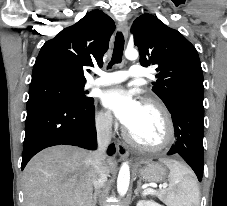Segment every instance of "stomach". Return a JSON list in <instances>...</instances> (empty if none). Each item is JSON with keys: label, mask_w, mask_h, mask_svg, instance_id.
Instances as JSON below:
<instances>
[{"label": "stomach", "mask_w": 227, "mask_h": 206, "mask_svg": "<svg viewBox=\"0 0 227 206\" xmlns=\"http://www.w3.org/2000/svg\"><path fill=\"white\" fill-rule=\"evenodd\" d=\"M136 173L143 181L158 183L165 180L167 170L160 163L146 162L143 167L136 170Z\"/></svg>", "instance_id": "obj_1"}]
</instances>
